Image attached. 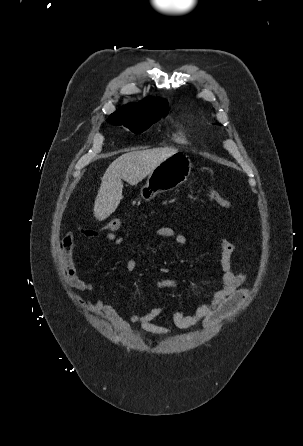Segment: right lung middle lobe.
<instances>
[{
  "label": "right lung middle lobe",
  "mask_w": 303,
  "mask_h": 446,
  "mask_svg": "<svg viewBox=\"0 0 303 446\" xmlns=\"http://www.w3.org/2000/svg\"><path fill=\"white\" fill-rule=\"evenodd\" d=\"M167 113L168 107L157 108L152 112L143 115H125L113 113L110 115L108 121L114 125H123L136 134H139L148 129L161 117L166 116Z\"/></svg>",
  "instance_id": "right-lung-middle-lobe-1"
}]
</instances>
